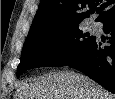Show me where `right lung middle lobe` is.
Listing matches in <instances>:
<instances>
[{"label": "right lung middle lobe", "instance_id": "1", "mask_svg": "<svg viewBox=\"0 0 115 99\" xmlns=\"http://www.w3.org/2000/svg\"><path fill=\"white\" fill-rule=\"evenodd\" d=\"M79 23L49 33L26 38L17 77L38 67H61L74 61L94 38L83 34Z\"/></svg>", "mask_w": 115, "mask_h": 99}]
</instances>
